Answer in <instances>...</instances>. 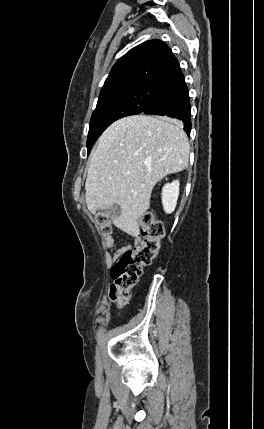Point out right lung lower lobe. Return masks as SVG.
<instances>
[{"mask_svg":"<svg viewBox=\"0 0 264 429\" xmlns=\"http://www.w3.org/2000/svg\"><path fill=\"white\" fill-rule=\"evenodd\" d=\"M142 113L160 115L180 120L190 135L191 106L189 91L180 68L169 77L152 97Z\"/></svg>","mask_w":264,"mask_h":429,"instance_id":"98d812e1","label":"right lung lower lobe"}]
</instances>
